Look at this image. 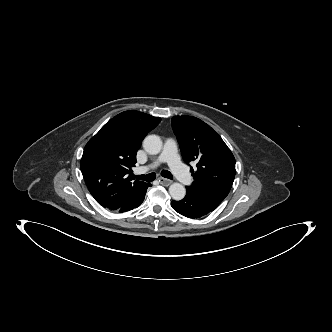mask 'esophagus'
Returning <instances> with one entry per match:
<instances>
[{"mask_svg": "<svg viewBox=\"0 0 332 332\" xmlns=\"http://www.w3.org/2000/svg\"><path fill=\"white\" fill-rule=\"evenodd\" d=\"M159 182L162 184V185H165V186H168L171 184V180L169 179H166V178H159Z\"/></svg>", "mask_w": 332, "mask_h": 332, "instance_id": "1", "label": "esophagus"}]
</instances>
